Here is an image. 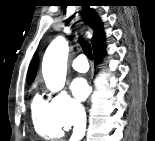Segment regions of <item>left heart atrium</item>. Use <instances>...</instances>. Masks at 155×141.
Returning <instances> with one entry per match:
<instances>
[{
	"instance_id": "obj_1",
	"label": "left heart atrium",
	"mask_w": 155,
	"mask_h": 141,
	"mask_svg": "<svg viewBox=\"0 0 155 141\" xmlns=\"http://www.w3.org/2000/svg\"><path fill=\"white\" fill-rule=\"evenodd\" d=\"M71 89H72L73 95L78 100L85 99L89 93L88 84H87L86 80L83 78L75 79L71 85Z\"/></svg>"
}]
</instances>
